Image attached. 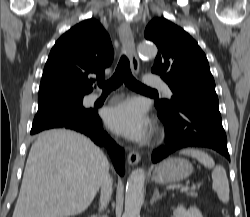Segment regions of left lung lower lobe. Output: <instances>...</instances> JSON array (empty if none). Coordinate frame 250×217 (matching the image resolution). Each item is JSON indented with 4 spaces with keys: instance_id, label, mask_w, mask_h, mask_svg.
Returning <instances> with one entry per match:
<instances>
[{
    "instance_id": "0a47b994",
    "label": "left lung lower lobe",
    "mask_w": 250,
    "mask_h": 217,
    "mask_svg": "<svg viewBox=\"0 0 250 217\" xmlns=\"http://www.w3.org/2000/svg\"><path fill=\"white\" fill-rule=\"evenodd\" d=\"M156 108L158 117L166 128V141L163 147L153 152L154 163L187 147L211 148L230 160L218 98L189 100L174 112H167L157 105Z\"/></svg>"
}]
</instances>
